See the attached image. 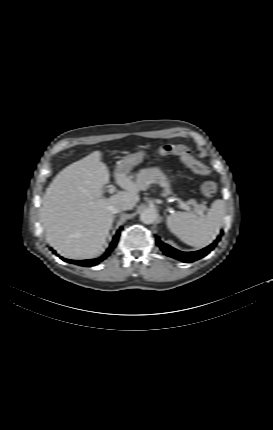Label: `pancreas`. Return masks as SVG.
<instances>
[{
    "label": "pancreas",
    "mask_w": 273,
    "mask_h": 430,
    "mask_svg": "<svg viewBox=\"0 0 273 430\" xmlns=\"http://www.w3.org/2000/svg\"><path fill=\"white\" fill-rule=\"evenodd\" d=\"M136 183L139 185L140 190H146L150 187L151 183H156L163 187L164 196L172 194L167 178L159 168L141 170L136 175Z\"/></svg>",
    "instance_id": "pancreas-1"
}]
</instances>
